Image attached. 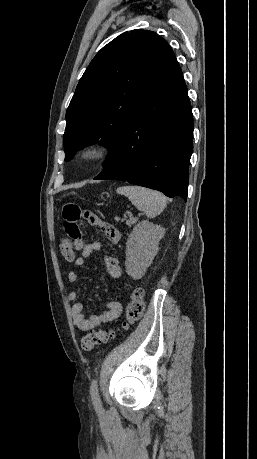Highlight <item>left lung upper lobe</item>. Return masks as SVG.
Returning <instances> with one entry per match:
<instances>
[{"instance_id": "5c2ea615", "label": "left lung upper lobe", "mask_w": 257, "mask_h": 459, "mask_svg": "<svg viewBox=\"0 0 257 459\" xmlns=\"http://www.w3.org/2000/svg\"><path fill=\"white\" fill-rule=\"evenodd\" d=\"M172 52L158 34L138 29L119 35L96 54L66 112L65 161L97 142L112 155L122 123Z\"/></svg>"}]
</instances>
